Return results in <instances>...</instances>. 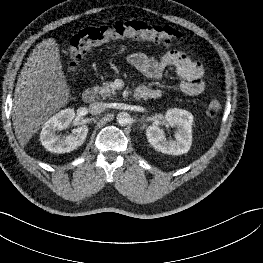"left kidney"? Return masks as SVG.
<instances>
[{
	"label": "left kidney",
	"instance_id": "1",
	"mask_svg": "<svg viewBox=\"0 0 263 263\" xmlns=\"http://www.w3.org/2000/svg\"><path fill=\"white\" fill-rule=\"evenodd\" d=\"M165 119L171 126L177 128L175 140H167L163 129L152 125L146 130L149 143L157 151L165 154L182 155L187 153L192 144V114L186 110L175 108L166 112Z\"/></svg>",
	"mask_w": 263,
	"mask_h": 263
}]
</instances>
